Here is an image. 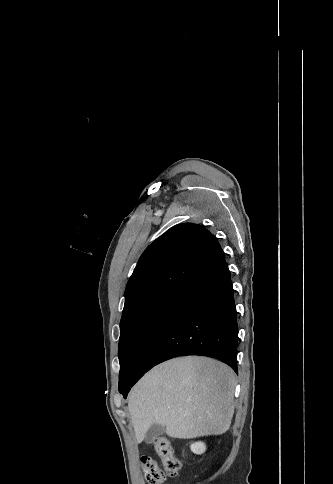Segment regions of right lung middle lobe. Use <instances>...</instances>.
I'll list each match as a JSON object with an SVG mask.
<instances>
[{
  "label": "right lung middle lobe",
  "mask_w": 333,
  "mask_h": 484,
  "mask_svg": "<svg viewBox=\"0 0 333 484\" xmlns=\"http://www.w3.org/2000/svg\"><path fill=\"white\" fill-rule=\"evenodd\" d=\"M171 292L160 293L124 313L120 322L119 340V390L123 389L130 376V367L135 351L143 334L154 318L156 312Z\"/></svg>",
  "instance_id": "right-lung-middle-lobe-1"
}]
</instances>
